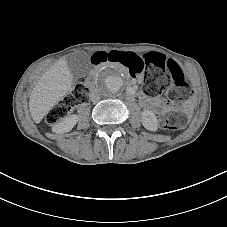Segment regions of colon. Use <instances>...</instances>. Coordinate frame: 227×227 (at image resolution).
Here are the masks:
<instances>
[{
  "mask_svg": "<svg viewBox=\"0 0 227 227\" xmlns=\"http://www.w3.org/2000/svg\"><path fill=\"white\" fill-rule=\"evenodd\" d=\"M94 64L114 63L126 69L132 76H143V86L147 93L158 95L168 87L169 73L173 80V87L168 93L171 102L178 101L190 94V88L185 81L182 69L170 59L150 52L137 55L132 52L109 51L97 52L92 57ZM88 100V88L83 80L74 83L71 93L54 106L47 115V123L53 125L64 118L73 108L85 104ZM185 116L177 111L165 113L160 119L163 129L176 131L183 127Z\"/></svg>",
  "mask_w": 227,
  "mask_h": 227,
  "instance_id": "obj_1",
  "label": "colon"
}]
</instances>
